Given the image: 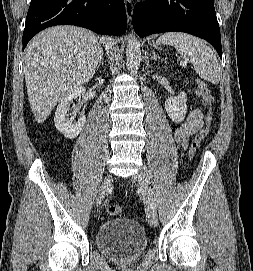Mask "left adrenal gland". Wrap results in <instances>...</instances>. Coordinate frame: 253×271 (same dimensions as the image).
Segmentation results:
<instances>
[{"instance_id":"a2214340","label":"left adrenal gland","mask_w":253,"mask_h":271,"mask_svg":"<svg viewBox=\"0 0 253 271\" xmlns=\"http://www.w3.org/2000/svg\"><path fill=\"white\" fill-rule=\"evenodd\" d=\"M151 59L156 60V59H161V58L158 55H156L155 51L153 50Z\"/></svg>"}]
</instances>
